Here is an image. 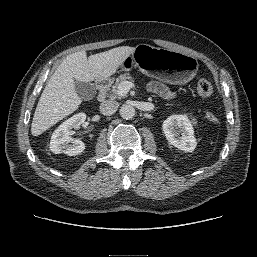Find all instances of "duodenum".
Here are the masks:
<instances>
[{
    "label": "duodenum",
    "mask_w": 257,
    "mask_h": 257,
    "mask_svg": "<svg viewBox=\"0 0 257 257\" xmlns=\"http://www.w3.org/2000/svg\"><path fill=\"white\" fill-rule=\"evenodd\" d=\"M109 83H110L109 80H99L96 83L97 89H98V100L100 102L106 99Z\"/></svg>",
    "instance_id": "410a0bca"
}]
</instances>
